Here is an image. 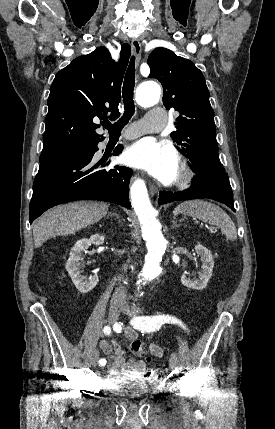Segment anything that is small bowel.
<instances>
[{
	"instance_id": "obj_1",
	"label": "small bowel",
	"mask_w": 275,
	"mask_h": 429,
	"mask_svg": "<svg viewBox=\"0 0 275 429\" xmlns=\"http://www.w3.org/2000/svg\"><path fill=\"white\" fill-rule=\"evenodd\" d=\"M124 334L126 338L131 342L130 348L132 349V344L136 341L140 342L142 348L143 344L141 341L137 338V333L132 328H127L124 331ZM100 349L106 354L107 359L106 363L108 362V369L110 374L114 375L119 372H126L130 374H136L141 372L144 369V363L137 360H126L124 357V349L122 346H120L116 341H107L102 340L99 343ZM146 347L149 351V353L154 357H161L162 356V349L160 346L154 343H148L146 344Z\"/></svg>"
}]
</instances>
